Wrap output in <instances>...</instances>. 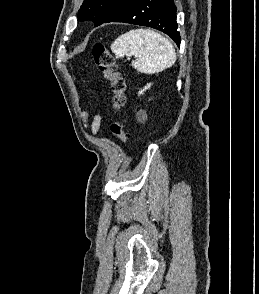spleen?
Listing matches in <instances>:
<instances>
[{
  "label": "spleen",
  "mask_w": 259,
  "mask_h": 294,
  "mask_svg": "<svg viewBox=\"0 0 259 294\" xmlns=\"http://www.w3.org/2000/svg\"><path fill=\"white\" fill-rule=\"evenodd\" d=\"M116 58L134 56L132 66L139 72L154 74L171 67L176 53L171 42L149 29H134L120 35L111 45Z\"/></svg>",
  "instance_id": "3e777b00"
}]
</instances>
